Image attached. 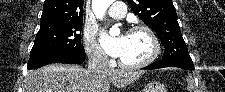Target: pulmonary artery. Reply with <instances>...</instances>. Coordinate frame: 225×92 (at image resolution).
I'll list each match as a JSON object with an SVG mask.
<instances>
[{"label": "pulmonary artery", "instance_id": "e3ab8cb5", "mask_svg": "<svg viewBox=\"0 0 225 92\" xmlns=\"http://www.w3.org/2000/svg\"><path fill=\"white\" fill-rule=\"evenodd\" d=\"M110 3V7L108 9V14L115 19H121L126 14V4L124 2H114L112 0H108Z\"/></svg>", "mask_w": 225, "mask_h": 92}]
</instances>
